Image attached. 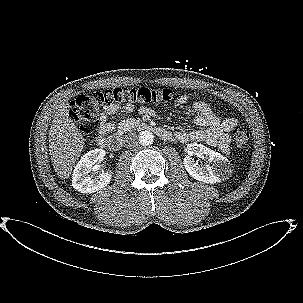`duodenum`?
I'll list each match as a JSON object with an SVG mask.
<instances>
[{"mask_svg":"<svg viewBox=\"0 0 303 303\" xmlns=\"http://www.w3.org/2000/svg\"><path fill=\"white\" fill-rule=\"evenodd\" d=\"M139 127L143 130H151L155 132L160 138L167 140L170 138V133L160 127H152L148 124H140ZM98 142L111 151H119L122 148V140L120 137H99Z\"/></svg>","mask_w":303,"mask_h":303,"instance_id":"1","label":"duodenum"}]
</instances>
